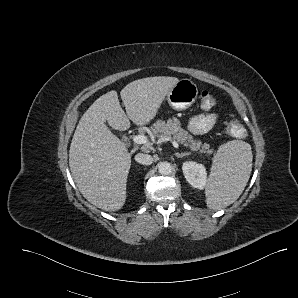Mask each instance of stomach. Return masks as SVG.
I'll return each instance as SVG.
<instances>
[{
    "label": "stomach",
    "instance_id": "obj_1",
    "mask_svg": "<svg viewBox=\"0 0 298 298\" xmlns=\"http://www.w3.org/2000/svg\"><path fill=\"white\" fill-rule=\"evenodd\" d=\"M198 97V87L188 78L179 79L166 95L168 105L173 110H185L192 106Z\"/></svg>",
    "mask_w": 298,
    "mask_h": 298
}]
</instances>
